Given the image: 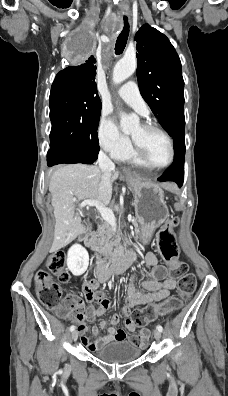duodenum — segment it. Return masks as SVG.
I'll return each instance as SVG.
<instances>
[{
	"mask_svg": "<svg viewBox=\"0 0 228 396\" xmlns=\"http://www.w3.org/2000/svg\"><path fill=\"white\" fill-rule=\"evenodd\" d=\"M85 245L89 248H91L95 254H96V264H97V273L104 278H109L112 275H117L123 273L132 263V259L128 256H125L121 259H119L116 264L110 268H106V255L109 254L113 257H115V260L117 258V255L119 251L117 250H107V251H101L99 249V246L97 244L96 240V234L95 232H91L86 235L84 239Z\"/></svg>",
	"mask_w": 228,
	"mask_h": 396,
	"instance_id": "410a0bca",
	"label": "duodenum"
}]
</instances>
